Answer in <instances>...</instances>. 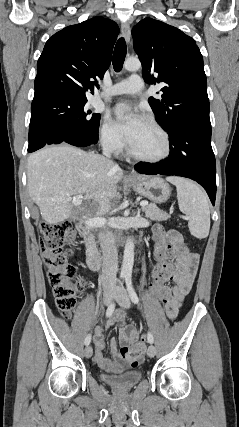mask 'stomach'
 Instances as JSON below:
<instances>
[{"label": "stomach", "instance_id": "0dacf381", "mask_svg": "<svg viewBox=\"0 0 239 427\" xmlns=\"http://www.w3.org/2000/svg\"><path fill=\"white\" fill-rule=\"evenodd\" d=\"M136 193L156 203L166 202L171 194L168 183L159 177H139L136 181L127 182Z\"/></svg>", "mask_w": 239, "mask_h": 427}]
</instances>
